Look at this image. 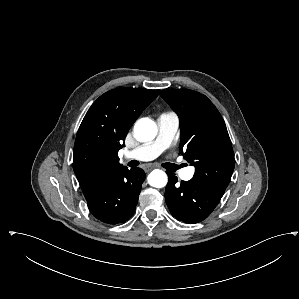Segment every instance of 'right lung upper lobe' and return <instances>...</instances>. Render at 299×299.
Instances as JSON below:
<instances>
[{"label":"right lung upper lobe","instance_id":"cb5924a9","mask_svg":"<svg viewBox=\"0 0 299 299\" xmlns=\"http://www.w3.org/2000/svg\"><path fill=\"white\" fill-rule=\"evenodd\" d=\"M159 90L121 87L101 95L85 115L75 140L73 170L84 196L110 174L124 168L118 151L122 141Z\"/></svg>","mask_w":299,"mask_h":299}]
</instances>
